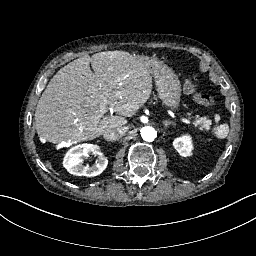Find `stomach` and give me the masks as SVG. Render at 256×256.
<instances>
[{
    "label": "stomach",
    "mask_w": 256,
    "mask_h": 256,
    "mask_svg": "<svg viewBox=\"0 0 256 256\" xmlns=\"http://www.w3.org/2000/svg\"><path fill=\"white\" fill-rule=\"evenodd\" d=\"M155 83L159 98L167 107L177 108L180 102L181 85L177 75L167 67L158 69L155 75Z\"/></svg>",
    "instance_id": "stomach-1"
}]
</instances>
